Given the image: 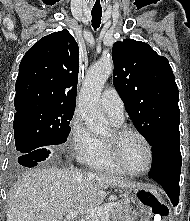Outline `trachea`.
Returning <instances> with one entry per match:
<instances>
[{
    "mask_svg": "<svg viewBox=\"0 0 190 221\" xmlns=\"http://www.w3.org/2000/svg\"><path fill=\"white\" fill-rule=\"evenodd\" d=\"M92 26L94 29L99 28L101 24L102 10H92Z\"/></svg>",
    "mask_w": 190,
    "mask_h": 221,
    "instance_id": "obj_1",
    "label": "trachea"
}]
</instances>
